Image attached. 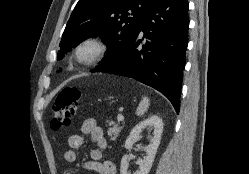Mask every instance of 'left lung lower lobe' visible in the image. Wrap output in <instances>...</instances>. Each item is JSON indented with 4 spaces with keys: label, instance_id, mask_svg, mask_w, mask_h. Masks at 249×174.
Returning a JSON list of instances; mask_svg holds the SVG:
<instances>
[{
    "label": "left lung lower lobe",
    "instance_id": "obj_1",
    "mask_svg": "<svg viewBox=\"0 0 249 174\" xmlns=\"http://www.w3.org/2000/svg\"><path fill=\"white\" fill-rule=\"evenodd\" d=\"M189 4L187 0H154L147 10L137 36L122 57L104 72L126 76L164 94L179 113L180 90L188 43ZM144 32V45L137 40Z\"/></svg>",
    "mask_w": 249,
    "mask_h": 174
}]
</instances>
